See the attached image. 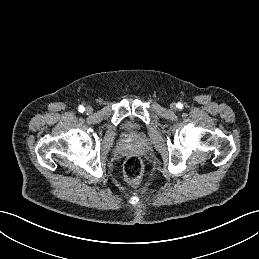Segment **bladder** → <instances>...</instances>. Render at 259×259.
Here are the masks:
<instances>
[{
    "label": "bladder",
    "instance_id": "obj_1",
    "mask_svg": "<svg viewBox=\"0 0 259 259\" xmlns=\"http://www.w3.org/2000/svg\"><path fill=\"white\" fill-rule=\"evenodd\" d=\"M124 129L129 137L135 136V126L132 122H127L124 126Z\"/></svg>",
    "mask_w": 259,
    "mask_h": 259
}]
</instances>
